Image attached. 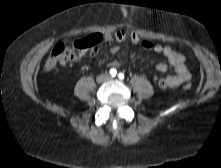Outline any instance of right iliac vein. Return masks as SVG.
<instances>
[{
	"label": "right iliac vein",
	"instance_id": "63e3f726",
	"mask_svg": "<svg viewBox=\"0 0 221 168\" xmlns=\"http://www.w3.org/2000/svg\"><path fill=\"white\" fill-rule=\"evenodd\" d=\"M107 79V76L105 75H100L97 77V82L98 83H103Z\"/></svg>",
	"mask_w": 221,
	"mask_h": 168
}]
</instances>
